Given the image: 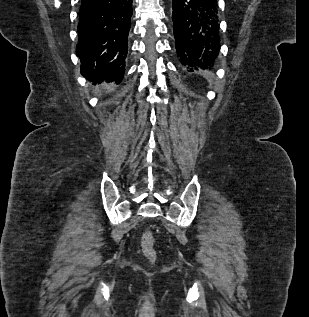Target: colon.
<instances>
[{
    "label": "colon",
    "instance_id": "obj_1",
    "mask_svg": "<svg viewBox=\"0 0 309 317\" xmlns=\"http://www.w3.org/2000/svg\"><path fill=\"white\" fill-rule=\"evenodd\" d=\"M142 252L147 259L154 262L157 259V251L154 246L153 234L149 231L143 232L140 238Z\"/></svg>",
    "mask_w": 309,
    "mask_h": 317
}]
</instances>
